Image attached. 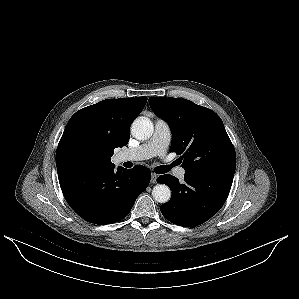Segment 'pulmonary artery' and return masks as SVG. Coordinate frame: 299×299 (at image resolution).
<instances>
[{"mask_svg":"<svg viewBox=\"0 0 299 299\" xmlns=\"http://www.w3.org/2000/svg\"><path fill=\"white\" fill-rule=\"evenodd\" d=\"M171 139L169 124L163 119H156L152 137L138 147L127 149L120 154L121 161H141L155 156H163L166 153ZM185 169L177 167L174 175L179 179L185 176Z\"/></svg>","mask_w":299,"mask_h":299,"instance_id":"obj_1","label":"pulmonary artery"}]
</instances>
